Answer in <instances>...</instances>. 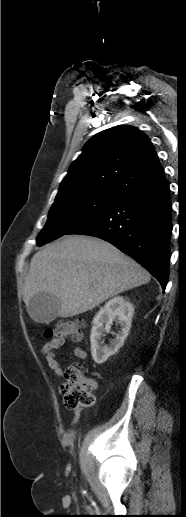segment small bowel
Returning a JSON list of instances; mask_svg holds the SVG:
<instances>
[{
    "instance_id": "c3829d8e",
    "label": "small bowel",
    "mask_w": 186,
    "mask_h": 517,
    "mask_svg": "<svg viewBox=\"0 0 186 517\" xmlns=\"http://www.w3.org/2000/svg\"><path fill=\"white\" fill-rule=\"evenodd\" d=\"M65 342L66 341L64 338H54L47 342L41 349V352L45 357L48 366L57 376L62 375L63 369L60 361L56 357V352L65 344ZM73 353L81 360L86 359V352L78 346L73 348ZM80 416L81 409H76L71 421L72 426H75L79 422Z\"/></svg>"
}]
</instances>
